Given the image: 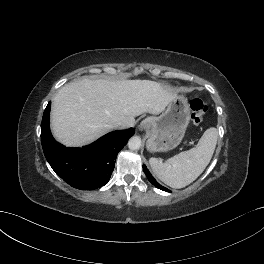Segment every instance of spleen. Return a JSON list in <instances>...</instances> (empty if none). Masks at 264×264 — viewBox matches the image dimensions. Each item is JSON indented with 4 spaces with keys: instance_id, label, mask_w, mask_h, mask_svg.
Segmentation results:
<instances>
[{
    "instance_id": "1",
    "label": "spleen",
    "mask_w": 264,
    "mask_h": 264,
    "mask_svg": "<svg viewBox=\"0 0 264 264\" xmlns=\"http://www.w3.org/2000/svg\"><path fill=\"white\" fill-rule=\"evenodd\" d=\"M217 139L218 130L211 127L204 132L195 148L181 152L164 163L152 157L149 160L150 166L166 185L183 188L205 170L213 156Z\"/></svg>"
}]
</instances>
